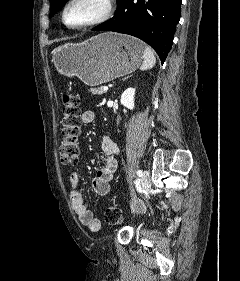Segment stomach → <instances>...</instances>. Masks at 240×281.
Wrapping results in <instances>:
<instances>
[{"label": "stomach", "instance_id": "1", "mask_svg": "<svg viewBox=\"0 0 240 281\" xmlns=\"http://www.w3.org/2000/svg\"><path fill=\"white\" fill-rule=\"evenodd\" d=\"M145 45L127 35L104 33L80 43H67L52 51V62L65 76L96 86L135 71Z\"/></svg>", "mask_w": 240, "mask_h": 281}]
</instances>
